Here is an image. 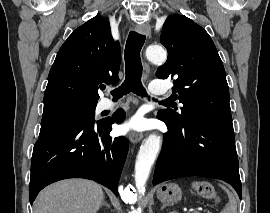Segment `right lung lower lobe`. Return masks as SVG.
I'll list each match as a JSON object with an SVG mask.
<instances>
[{
    "label": "right lung lower lobe",
    "instance_id": "right-lung-lower-lobe-1",
    "mask_svg": "<svg viewBox=\"0 0 270 213\" xmlns=\"http://www.w3.org/2000/svg\"><path fill=\"white\" fill-rule=\"evenodd\" d=\"M124 117L119 109L111 119L97 123L70 117L42 119L32 154L30 203L45 186L67 178L94 180L118 196L128 141L125 137L112 138L109 132L111 125Z\"/></svg>",
    "mask_w": 270,
    "mask_h": 213
}]
</instances>
